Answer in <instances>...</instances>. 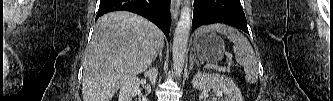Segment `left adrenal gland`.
Returning <instances> with one entry per match:
<instances>
[{
	"label": "left adrenal gland",
	"instance_id": "left-adrenal-gland-1",
	"mask_svg": "<svg viewBox=\"0 0 333 101\" xmlns=\"http://www.w3.org/2000/svg\"><path fill=\"white\" fill-rule=\"evenodd\" d=\"M194 64H196L198 67H200L198 61L196 60V58L191 54L190 55V62H189V69L192 71Z\"/></svg>",
	"mask_w": 333,
	"mask_h": 101
}]
</instances>
